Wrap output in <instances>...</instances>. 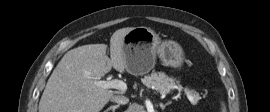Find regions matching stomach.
Returning a JSON list of instances; mask_svg holds the SVG:
<instances>
[{"label":"stomach","instance_id":"0dacf381","mask_svg":"<svg viewBox=\"0 0 270 112\" xmlns=\"http://www.w3.org/2000/svg\"><path fill=\"white\" fill-rule=\"evenodd\" d=\"M123 55L128 73L140 76L148 73L155 65L156 54L166 66L180 68L184 61L181 46L172 40L161 41L150 28L136 27L123 39Z\"/></svg>","mask_w":270,"mask_h":112}]
</instances>
